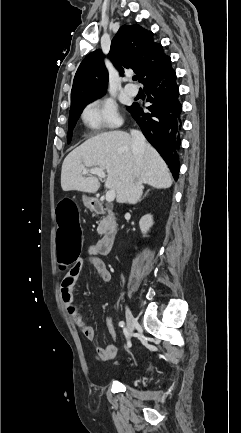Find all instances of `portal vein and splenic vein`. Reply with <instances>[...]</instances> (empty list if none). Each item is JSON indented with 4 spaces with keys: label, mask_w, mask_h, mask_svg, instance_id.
<instances>
[{
    "label": "portal vein and splenic vein",
    "mask_w": 241,
    "mask_h": 433,
    "mask_svg": "<svg viewBox=\"0 0 241 433\" xmlns=\"http://www.w3.org/2000/svg\"><path fill=\"white\" fill-rule=\"evenodd\" d=\"M82 174H83V175H86V174H94V175H97L98 177H100L101 179L106 177L104 170L101 169V168H92V169H90V170H86V169H85V170L82 171ZM115 196H116L115 190H109V191L106 193V197H105V198H106V201H107V202H112V201H114Z\"/></svg>",
    "instance_id": "18ae733b"
}]
</instances>
